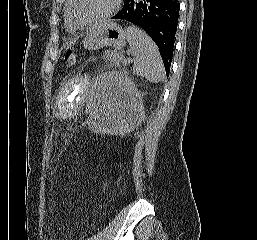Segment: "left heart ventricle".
<instances>
[{"instance_id":"b2bd125f","label":"left heart ventricle","mask_w":257,"mask_h":240,"mask_svg":"<svg viewBox=\"0 0 257 240\" xmlns=\"http://www.w3.org/2000/svg\"><path fill=\"white\" fill-rule=\"evenodd\" d=\"M111 4L112 0H74L72 14L76 20L87 22L105 13Z\"/></svg>"}]
</instances>
